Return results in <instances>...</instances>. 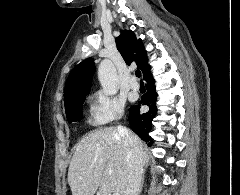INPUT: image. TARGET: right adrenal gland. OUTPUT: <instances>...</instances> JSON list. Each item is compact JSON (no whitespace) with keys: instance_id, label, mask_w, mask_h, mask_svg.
I'll use <instances>...</instances> for the list:
<instances>
[{"instance_id":"1","label":"right adrenal gland","mask_w":240,"mask_h":195,"mask_svg":"<svg viewBox=\"0 0 240 195\" xmlns=\"http://www.w3.org/2000/svg\"><path fill=\"white\" fill-rule=\"evenodd\" d=\"M144 179H145V173H143V175H142V181H141V185H140L139 193H141V191H142V189H143Z\"/></svg>"}]
</instances>
